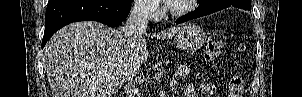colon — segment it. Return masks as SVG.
<instances>
[{
    "mask_svg": "<svg viewBox=\"0 0 302 97\" xmlns=\"http://www.w3.org/2000/svg\"><path fill=\"white\" fill-rule=\"evenodd\" d=\"M223 49V43L220 40L212 39L207 42L204 48V60L206 63L214 62ZM245 88V82L242 77L234 76L229 83V97H242Z\"/></svg>",
    "mask_w": 302,
    "mask_h": 97,
    "instance_id": "colon-1",
    "label": "colon"
}]
</instances>
